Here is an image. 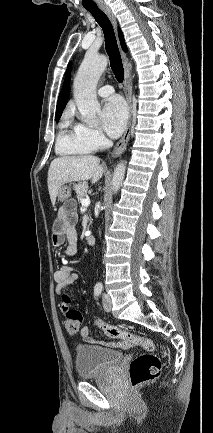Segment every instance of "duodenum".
<instances>
[{
  "instance_id": "duodenum-1",
  "label": "duodenum",
  "mask_w": 213,
  "mask_h": 433,
  "mask_svg": "<svg viewBox=\"0 0 213 433\" xmlns=\"http://www.w3.org/2000/svg\"><path fill=\"white\" fill-rule=\"evenodd\" d=\"M86 240H87V243L89 245H94L95 244V237L93 235H91V234H89L87 236Z\"/></svg>"
}]
</instances>
